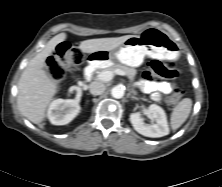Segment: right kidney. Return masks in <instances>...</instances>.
I'll return each mask as SVG.
<instances>
[{"instance_id":"ca27d5eb","label":"right kidney","mask_w":222,"mask_h":187,"mask_svg":"<svg viewBox=\"0 0 222 187\" xmlns=\"http://www.w3.org/2000/svg\"><path fill=\"white\" fill-rule=\"evenodd\" d=\"M80 112V105L74 99L54 100L47 111L50 122L54 125H65L71 122Z\"/></svg>"}]
</instances>
